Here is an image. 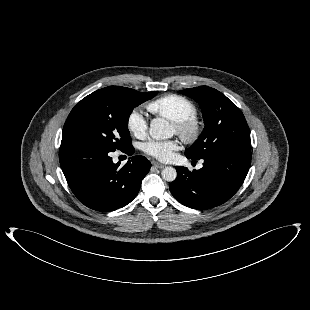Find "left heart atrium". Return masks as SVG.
Here are the masks:
<instances>
[{
	"label": "left heart atrium",
	"mask_w": 310,
	"mask_h": 310,
	"mask_svg": "<svg viewBox=\"0 0 310 310\" xmlns=\"http://www.w3.org/2000/svg\"><path fill=\"white\" fill-rule=\"evenodd\" d=\"M180 148L179 142L175 139L171 140H149L144 143L143 151L160 160V161H170L174 157V153Z\"/></svg>",
	"instance_id": "1"
}]
</instances>
